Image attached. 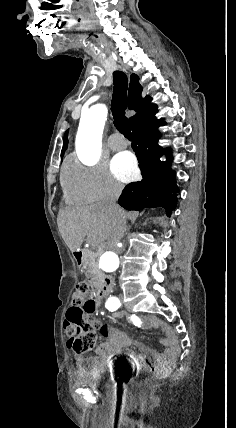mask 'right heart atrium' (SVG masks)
Wrapping results in <instances>:
<instances>
[{
  "instance_id": "right-heart-atrium-1",
  "label": "right heart atrium",
  "mask_w": 236,
  "mask_h": 428,
  "mask_svg": "<svg viewBox=\"0 0 236 428\" xmlns=\"http://www.w3.org/2000/svg\"><path fill=\"white\" fill-rule=\"evenodd\" d=\"M62 185L67 198L79 206H96L97 200H117L124 191L103 162L70 161Z\"/></svg>"
}]
</instances>
